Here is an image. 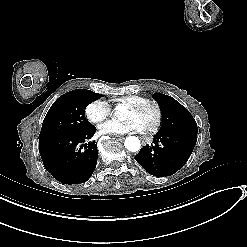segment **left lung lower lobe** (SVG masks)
Returning a JSON list of instances; mask_svg holds the SVG:
<instances>
[{
	"mask_svg": "<svg viewBox=\"0 0 247 247\" xmlns=\"http://www.w3.org/2000/svg\"><path fill=\"white\" fill-rule=\"evenodd\" d=\"M197 134L158 132L153 144L144 146L134 157L151 175L169 176L182 168L196 144Z\"/></svg>",
	"mask_w": 247,
	"mask_h": 247,
	"instance_id": "left-lung-lower-lobe-1",
	"label": "left lung lower lobe"
}]
</instances>
